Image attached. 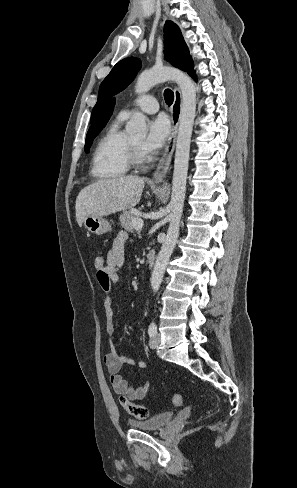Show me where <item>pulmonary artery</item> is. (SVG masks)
Here are the masks:
<instances>
[{
	"label": "pulmonary artery",
	"instance_id": "e3ab8cb5",
	"mask_svg": "<svg viewBox=\"0 0 297 488\" xmlns=\"http://www.w3.org/2000/svg\"><path fill=\"white\" fill-rule=\"evenodd\" d=\"M133 105L137 107L139 110L148 113V114H153L159 110V104L157 99L152 96V95H142L138 98H136L133 101ZM130 114V111L128 110H123L121 111L120 115L122 117H127Z\"/></svg>",
	"mask_w": 297,
	"mask_h": 488
}]
</instances>
